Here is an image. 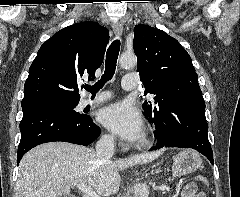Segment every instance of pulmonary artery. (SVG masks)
<instances>
[{
  "label": "pulmonary artery",
  "mask_w": 240,
  "mask_h": 197,
  "mask_svg": "<svg viewBox=\"0 0 240 197\" xmlns=\"http://www.w3.org/2000/svg\"><path fill=\"white\" fill-rule=\"evenodd\" d=\"M137 84H138V75L128 74L123 77L121 86L124 90H132L136 88ZM111 97L112 95L108 93L99 94L92 99H88L87 104L95 105V104L103 103L105 101L110 100Z\"/></svg>",
  "instance_id": "obj_1"
}]
</instances>
